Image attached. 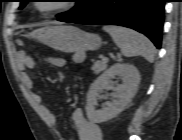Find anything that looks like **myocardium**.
<instances>
[{
    "instance_id": "obj_1",
    "label": "myocardium",
    "mask_w": 182,
    "mask_h": 140,
    "mask_svg": "<svg viewBox=\"0 0 182 140\" xmlns=\"http://www.w3.org/2000/svg\"><path fill=\"white\" fill-rule=\"evenodd\" d=\"M34 7L36 11H38L41 15L49 16V15H54V14L68 11L74 7V4L73 2H70V0H64V2H62L60 6L57 8L43 9V6L41 5V3L35 4Z\"/></svg>"
}]
</instances>
